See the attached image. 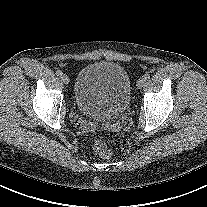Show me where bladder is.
Returning <instances> with one entry per match:
<instances>
[{
    "label": "bladder",
    "mask_w": 207,
    "mask_h": 207,
    "mask_svg": "<svg viewBox=\"0 0 207 207\" xmlns=\"http://www.w3.org/2000/svg\"><path fill=\"white\" fill-rule=\"evenodd\" d=\"M73 99L86 116L110 119L126 111L131 99V82L127 71L110 61L84 66L77 74Z\"/></svg>",
    "instance_id": "31cf9c89"
}]
</instances>
